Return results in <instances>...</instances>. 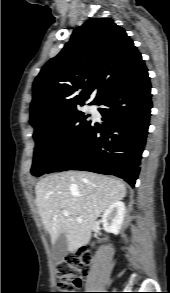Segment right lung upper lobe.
<instances>
[{"mask_svg":"<svg viewBox=\"0 0 170 293\" xmlns=\"http://www.w3.org/2000/svg\"><path fill=\"white\" fill-rule=\"evenodd\" d=\"M144 68L133 41L112 19H89L36 77L30 124L37 128L83 105L91 94L95 104L108 89Z\"/></svg>","mask_w":170,"mask_h":293,"instance_id":"right-lung-upper-lobe-1","label":"right lung upper lobe"}]
</instances>
